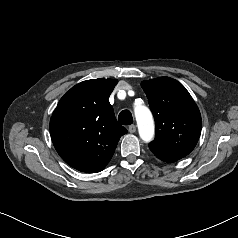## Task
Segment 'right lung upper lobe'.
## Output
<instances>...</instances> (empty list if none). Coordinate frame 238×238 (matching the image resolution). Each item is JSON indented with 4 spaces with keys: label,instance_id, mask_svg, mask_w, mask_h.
<instances>
[{
    "label": "right lung upper lobe",
    "instance_id": "1",
    "mask_svg": "<svg viewBox=\"0 0 238 238\" xmlns=\"http://www.w3.org/2000/svg\"><path fill=\"white\" fill-rule=\"evenodd\" d=\"M116 79H91L72 87L50 120V134L60 157L89 173L102 171L127 130L117 123L108 99Z\"/></svg>",
    "mask_w": 238,
    "mask_h": 238
}]
</instances>
